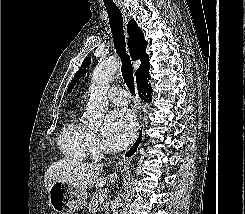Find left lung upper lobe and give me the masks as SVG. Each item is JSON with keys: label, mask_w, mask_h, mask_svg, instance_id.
I'll return each instance as SVG.
<instances>
[{"label": "left lung upper lobe", "mask_w": 245, "mask_h": 214, "mask_svg": "<svg viewBox=\"0 0 245 214\" xmlns=\"http://www.w3.org/2000/svg\"><path fill=\"white\" fill-rule=\"evenodd\" d=\"M90 63H91V57H88V58H86V59L83 61L82 65H81V68L76 72L74 78L72 79L71 84H70L69 87H68V92H67V94H68V93H71V91H72L74 85L79 81V78H80L82 75L85 74L86 68L90 65Z\"/></svg>", "instance_id": "left-lung-upper-lobe-1"}]
</instances>
